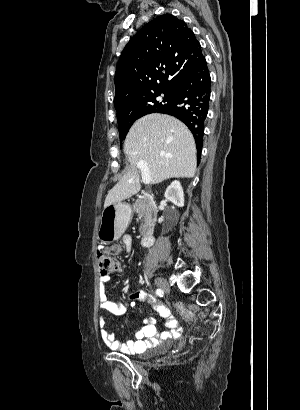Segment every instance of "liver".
I'll use <instances>...</instances> for the list:
<instances>
[{
  "instance_id": "obj_1",
  "label": "liver",
  "mask_w": 300,
  "mask_h": 410,
  "mask_svg": "<svg viewBox=\"0 0 300 410\" xmlns=\"http://www.w3.org/2000/svg\"><path fill=\"white\" fill-rule=\"evenodd\" d=\"M130 167L109 191L104 208L128 199L139 192L138 162H147L151 183L169 178L195 175L197 157L195 140L184 123L166 114L153 113L137 120L124 142Z\"/></svg>"
}]
</instances>
